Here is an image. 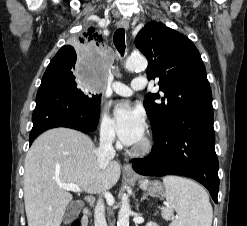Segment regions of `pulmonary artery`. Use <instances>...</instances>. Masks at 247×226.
I'll list each match as a JSON object with an SVG mask.
<instances>
[{
	"label": "pulmonary artery",
	"instance_id": "obj_1",
	"mask_svg": "<svg viewBox=\"0 0 247 226\" xmlns=\"http://www.w3.org/2000/svg\"><path fill=\"white\" fill-rule=\"evenodd\" d=\"M146 87V80L144 77L135 78L130 86L126 84L115 81L112 84L113 91L120 96H131L135 91L143 90Z\"/></svg>",
	"mask_w": 247,
	"mask_h": 226
}]
</instances>
